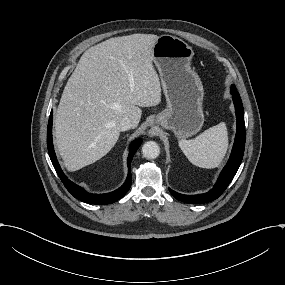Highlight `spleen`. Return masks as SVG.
<instances>
[{
	"instance_id": "1",
	"label": "spleen",
	"mask_w": 285,
	"mask_h": 285,
	"mask_svg": "<svg viewBox=\"0 0 285 285\" xmlns=\"http://www.w3.org/2000/svg\"><path fill=\"white\" fill-rule=\"evenodd\" d=\"M178 144L192 164L203 168L217 167L228 148L225 124L211 126L193 139H179Z\"/></svg>"
}]
</instances>
